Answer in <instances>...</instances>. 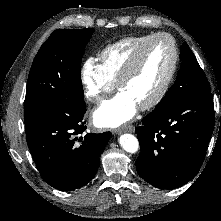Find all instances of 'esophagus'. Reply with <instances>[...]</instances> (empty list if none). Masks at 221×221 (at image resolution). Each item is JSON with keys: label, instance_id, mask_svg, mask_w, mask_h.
Instances as JSON below:
<instances>
[{"label": "esophagus", "instance_id": "obj_1", "mask_svg": "<svg viewBox=\"0 0 221 221\" xmlns=\"http://www.w3.org/2000/svg\"><path fill=\"white\" fill-rule=\"evenodd\" d=\"M122 132H134V126L129 125L115 130L116 134H121Z\"/></svg>", "mask_w": 221, "mask_h": 221}]
</instances>
